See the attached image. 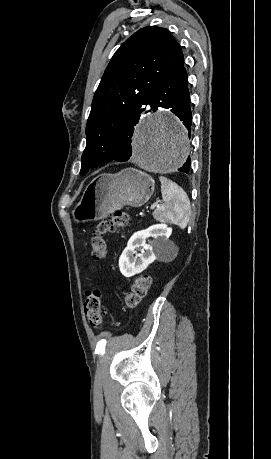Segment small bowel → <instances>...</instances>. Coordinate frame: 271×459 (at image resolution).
Returning a JSON list of instances; mask_svg holds the SVG:
<instances>
[{"label": "small bowel", "mask_w": 271, "mask_h": 459, "mask_svg": "<svg viewBox=\"0 0 271 459\" xmlns=\"http://www.w3.org/2000/svg\"><path fill=\"white\" fill-rule=\"evenodd\" d=\"M91 291H92V290H88V291H86V294H85V296L87 297V296L90 294V292H91Z\"/></svg>", "instance_id": "1"}]
</instances>
